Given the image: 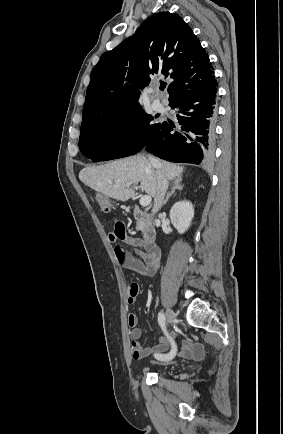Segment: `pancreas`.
Returning a JSON list of instances; mask_svg holds the SVG:
<instances>
[{"mask_svg":"<svg viewBox=\"0 0 283 434\" xmlns=\"http://www.w3.org/2000/svg\"><path fill=\"white\" fill-rule=\"evenodd\" d=\"M145 227V223L144 222H137V230L143 231Z\"/></svg>","mask_w":283,"mask_h":434,"instance_id":"pancreas-1","label":"pancreas"}]
</instances>
